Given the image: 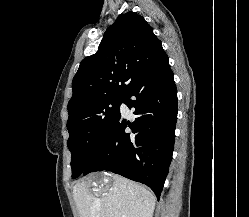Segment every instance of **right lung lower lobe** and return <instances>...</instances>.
<instances>
[{
	"instance_id": "98d812e1",
	"label": "right lung lower lobe",
	"mask_w": 249,
	"mask_h": 217,
	"mask_svg": "<svg viewBox=\"0 0 249 217\" xmlns=\"http://www.w3.org/2000/svg\"><path fill=\"white\" fill-rule=\"evenodd\" d=\"M123 101L135 108L136 119L131 123L119 115L88 157L82 175L110 170L149 186L159 199L172 159L178 110L177 89L166 53ZM127 127L130 133L125 131Z\"/></svg>"
}]
</instances>
